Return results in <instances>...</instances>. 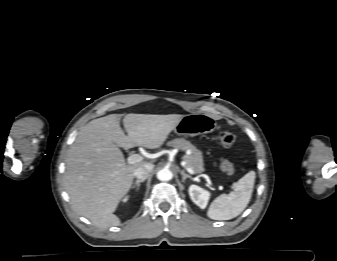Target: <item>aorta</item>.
I'll list each match as a JSON object with an SVG mask.
<instances>
[{
	"label": "aorta",
	"mask_w": 337,
	"mask_h": 261,
	"mask_svg": "<svg viewBox=\"0 0 337 261\" xmlns=\"http://www.w3.org/2000/svg\"><path fill=\"white\" fill-rule=\"evenodd\" d=\"M172 177H173V174L169 169L164 168L157 172V178L160 181H169L172 179Z\"/></svg>",
	"instance_id": "obj_1"
}]
</instances>
